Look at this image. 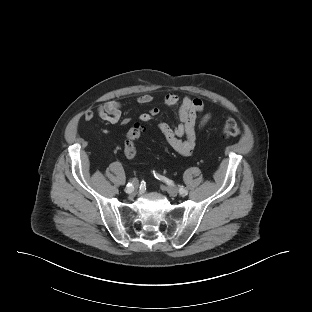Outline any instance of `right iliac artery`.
Listing matches in <instances>:
<instances>
[{
  "instance_id": "1",
  "label": "right iliac artery",
  "mask_w": 312,
  "mask_h": 312,
  "mask_svg": "<svg viewBox=\"0 0 312 312\" xmlns=\"http://www.w3.org/2000/svg\"><path fill=\"white\" fill-rule=\"evenodd\" d=\"M133 190H134L133 184L132 183H128L126 185V189H125L126 193H131Z\"/></svg>"
}]
</instances>
